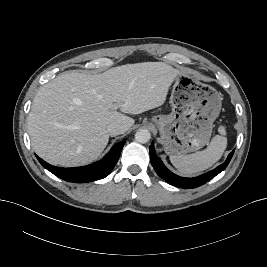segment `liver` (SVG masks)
<instances>
[{
	"label": "liver",
	"mask_w": 267,
	"mask_h": 267,
	"mask_svg": "<svg viewBox=\"0 0 267 267\" xmlns=\"http://www.w3.org/2000/svg\"><path fill=\"white\" fill-rule=\"evenodd\" d=\"M176 75L163 62L126 64L96 75L60 74L33 99L28 116L33 150L53 165L90 163L108 144L107 126L118 123L122 133L129 130L134 119L125 114L161 106Z\"/></svg>",
	"instance_id": "6515ba94"
}]
</instances>
